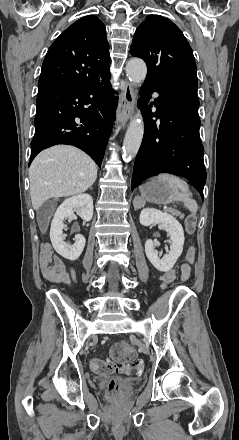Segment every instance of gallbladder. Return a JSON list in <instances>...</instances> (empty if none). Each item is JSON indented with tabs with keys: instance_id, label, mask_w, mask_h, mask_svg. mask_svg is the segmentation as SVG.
<instances>
[{
	"instance_id": "obj_1",
	"label": "gallbladder",
	"mask_w": 239,
	"mask_h": 440,
	"mask_svg": "<svg viewBox=\"0 0 239 440\" xmlns=\"http://www.w3.org/2000/svg\"><path fill=\"white\" fill-rule=\"evenodd\" d=\"M41 210H42V208H41ZM41 210H39V212H38V216H37V222H38V226H39V228H41V218H40V212H41Z\"/></svg>"
}]
</instances>
